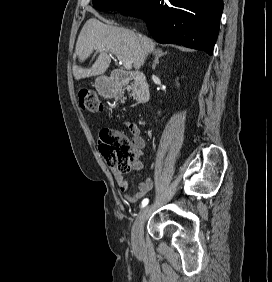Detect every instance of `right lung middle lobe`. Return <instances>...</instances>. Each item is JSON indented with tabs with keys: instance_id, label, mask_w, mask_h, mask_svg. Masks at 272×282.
Segmentation results:
<instances>
[{
	"instance_id": "obj_1",
	"label": "right lung middle lobe",
	"mask_w": 272,
	"mask_h": 282,
	"mask_svg": "<svg viewBox=\"0 0 272 282\" xmlns=\"http://www.w3.org/2000/svg\"><path fill=\"white\" fill-rule=\"evenodd\" d=\"M141 0H92L94 7L101 11L116 10L121 11L129 8Z\"/></svg>"
}]
</instances>
